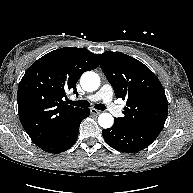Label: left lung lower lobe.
<instances>
[{
  "instance_id": "left-lung-lower-lobe-1",
  "label": "left lung lower lobe",
  "mask_w": 193,
  "mask_h": 193,
  "mask_svg": "<svg viewBox=\"0 0 193 193\" xmlns=\"http://www.w3.org/2000/svg\"><path fill=\"white\" fill-rule=\"evenodd\" d=\"M163 127L126 128L114 121L111 128L104 129V140L112 148L127 153L138 152L148 147Z\"/></svg>"
}]
</instances>
